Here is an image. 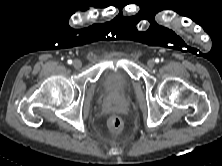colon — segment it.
I'll list each match as a JSON object with an SVG mask.
<instances>
[{"instance_id":"1","label":"colon","mask_w":222,"mask_h":166,"mask_svg":"<svg viewBox=\"0 0 222 166\" xmlns=\"http://www.w3.org/2000/svg\"><path fill=\"white\" fill-rule=\"evenodd\" d=\"M124 123L121 117L113 115L108 120V128L113 133H120L123 130Z\"/></svg>"}]
</instances>
